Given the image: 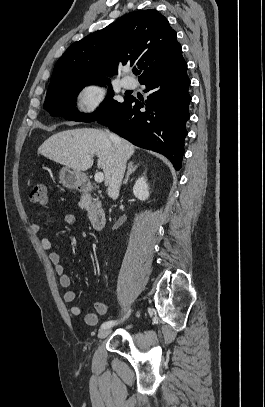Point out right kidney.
<instances>
[{"label": "right kidney", "instance_id": "right-kidney-1", "mask_svg": "<svg viewBox=\"0 0 265 407\" xmlns=\"http://www.w3.org/2000/svg\"><path fill=\"white\" fill-rule=\"evenodd\" d=\"M133 193L136 198L145 201L149 197V187L145 177H140L136 180L133 186Z\"/></svg>", "mask_w": 265, "mask_h": 407}]
</instances>
